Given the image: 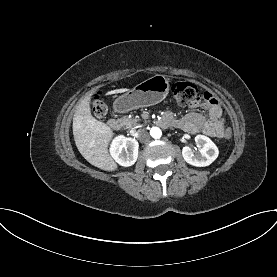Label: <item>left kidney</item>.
Returning <instances> with one entry per match:
<instances>
[{
    "label": "left kidney",
    "mask_w": 277,
    "mask_h": 277,
    "mask_svg": "<svg viewBox=\"0 0 277 277\" xmlns=\"http://www.w3.org/2000/svg\"><path fill=\"white\" fill-rule=\"evenodd\" d=\"M195 141L202 146L199 152H194L189 146L182 149L184 160L190 165L196 167H205L210 165L219 154L217 146L214 142L204 135H197Z\"/></svg>",
    "instance_id": "5707ae66"
}]
</instances>
